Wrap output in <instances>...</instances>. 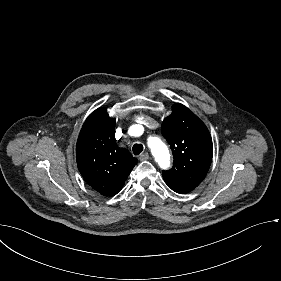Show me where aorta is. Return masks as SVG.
<instances>
[{
    "mask_svg": "<svg viewBox=\"0 0 281 281\" xmlns=\"http://www.w3.org/2000/svg\"><path fill=\"white\" fill-rule=\"evenodd\" d=\"M152 154L161 167H168L170 164V153L167 146L159 139L152 138L149 141Z\"/></svg>",
    "mask_w": 281,
    "mask_h": 281,
    "instance_id": "762f6f07",
    "label": "aorta"
}]
</instances>
